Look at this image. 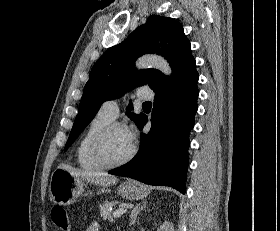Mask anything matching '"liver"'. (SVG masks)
Instances as JSON below:
<instances>
[{
    "mask_svg": "<svg viewBox=\"0 0 280 231\" xmlns=\"http://www.w3.org/2000/svg\"><path fill=\"white\" fill-rule=\"evenodd\" d=\"M62 169H67L71 175L74 177H82V179H87L90 183H96V185H114L117 183L118 179L115 175H104L101 171H84V169H76V167H70V165H58Z\"/></svg>",
    "mask_w": 280,
    "mask_h": 231,
    "instance_id": "1",
    "label": "liver"
}]
</instances>
